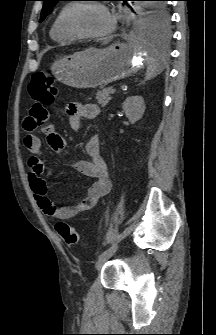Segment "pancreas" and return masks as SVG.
Masks as SVG:
<instances>
[{
    "instance_id": "cf45deb5",
    "label": "pancreas",
    "mask_w": 216,
    "mask_h": 335,
    "mask_svg": "<svg viewBox=\"0 0 216 335\" xmlns=\"http://www.w3.org/2000/svg\"><path fill=\"white\" fill-rule=\"evenodd\" d=\"M111 89L112 87H108L96 93L95 98L98 104L101 105V107H105L109 103V101L112 99V97L110 96Z\"/></svg>"
}]
</instances>
